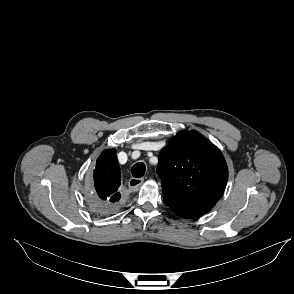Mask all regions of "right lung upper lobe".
I'll return each instance as SVG.
<instances>
[{"label": "right lung upper lobe", "mask_w": 294, "mask_h": 294, "mask_svg": "<svg viewBox=\"0 0 294 294\" xmlns=\"http://www.w3.org/2000/svg\"><path fill=\"white\" fill-rule=\"evenodd\" d=\"M121 173L117 161L116 150H104L97 159L94 170L95 194L104 206L106 213L112 212L121 198L119 186Z\"/></svg>", "instance_id": "right-lung-upper-lobe-1"}]
</instances>
